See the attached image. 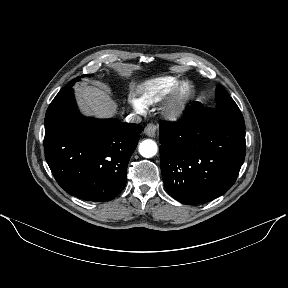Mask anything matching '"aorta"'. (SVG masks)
Returning <instances> with one entry per match:
<instances>
[{
  "label": "aorta",
  "instance_id": "1",
  "mask_svg": "<svg viewBox=\"0 0 288 288\" xmlns=\"http://www.w3.org/2000/svg\"><path fill=\"white\" fill-rule=\"evenodd\" d=\"M139 153L145 158L153 157L157 153V144L150 139L144 140L139 145Z\"/></svg>",
  "mask_w": 288,
  "mask_h": 288
}]
</instances>
